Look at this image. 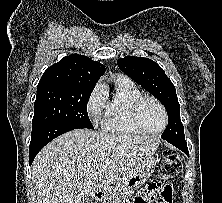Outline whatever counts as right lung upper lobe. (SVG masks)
Returning a JSON list of instances; mask_svg holds the SVG:
<instances>
[{
  "label": "right lung upper lobe",
  "mask_w": 222,
  "mask_h": 203,
  "mask_svg": "<svg viewBox=\"0 0 222 203\" xmlns=\"http://www.w3.org/2000/svg\"><path fill=\"white\" fill-rule=\"evenodd\" d=\"M105 67L90 58L71 54L53 64L42 75L37 91L50 87L94 88Z\"/></svg>",
  "instance_id": "1"
}]
</instances>
